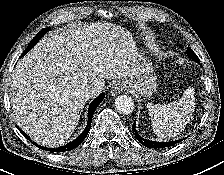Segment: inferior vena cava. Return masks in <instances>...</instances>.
Returning <instances> with one entry per match:
<instances>
[{
    "label": "inferior vena cava",
    "instance_id": "1",
    "mask_svg": "<svg viewBox=\"0 0 224 175\" xmlns=\"http://www.w3.org/2000/svg\"><path fill=\"white\" fill-rule=\"evenodd\" d=\"M100 90V86L88 85L87 87H85L83 94L86 98H91L96 96L100 92Z\"/></svg>",
    "mask_w": 224,
    "mask_h": 175
}]
</instances>
